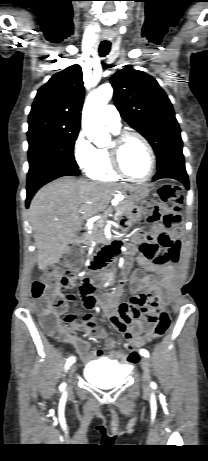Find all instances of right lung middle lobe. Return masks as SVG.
Here are the masks:
<instances>
[{
    "mask_svg": "<svg viewBox=\"0 0 208 461\" xmlns=\"http://www.w3.org/2000/svg\"><path fill=\"white\" fill-rule=\"evenodd\" d=\"M28 123L29 170L49 161H60L78 168L73 149L79 124L48 118H32Z\"/></svg>",
    "mask_w": 208,
    "mask_h": 461,
    "instance_id": "1",
    "label": "right lung middle lobe"
}]
</instances>
